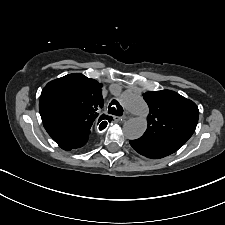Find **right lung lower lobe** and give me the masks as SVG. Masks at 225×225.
<instances>
[{
    "mask_svg": "<svg viewBox=\"0 0 225 225\" xmlns=\"http://www.w3.org/2000/svg\"><path fill=\"white\" fill-rule=\"evenodd\" d=\"M43 125L51 138L66 151L82 149L88 142L90 127L78 122L47 119Z\"/></svg>",
    "mask_w": 225,
    "mask_h": 225,
    "instance_id": "obj_1",
    "label": "right lung lower lobe"
}]
</instances>
